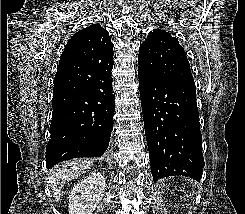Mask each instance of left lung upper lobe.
Masks as SVG:
<instances>
[{"label":"left lung upper lobe","instance_id":"obj_1","mask_svg":"<svg viewBox=\"0 0 245 214\" xmlns=\"http://www.w3.org/2000/svg\"><path fill=\"white\" fill-rule=\"evenodd\" d=\"M138 70L165 81L195 84L182 46L170 33L155 29L141 44Z\"/></svg>","mask_w":245,"mask_h":214}]
</instances>
